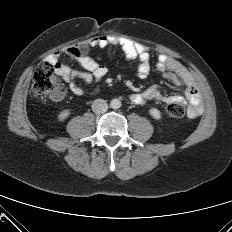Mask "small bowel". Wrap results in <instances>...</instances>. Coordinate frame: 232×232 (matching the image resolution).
I'll return each mask as SVG.
<instances>
[{
  "label": "small bowel",
  "mask_w": 232,
  "mask_h": 232,
  "mask_svg": "<svg viewBox=\"0 0 232 232\" xmlns=\"http://www.w3.org/2000/svg\"><path fill=\"white\" fill-rule=\"evenodd\" d=\"M90 43L100 47L109 45L120 47L131 60L136 62L135 74L139 78H146L151 72L152 55L149 49L140 43L116 35H101L90 39ZM48 58L54 63L55 72L67 84V87L62 88L58 95L51 97L54 101L62 100L68 92L75 95L87 94V90L81 83L86 85L99 83L108 73L105 66L86 56L76 58L82 70H76L67 64L60 63L56 55H50ZM155 69L163 73L164 77L172 84L182 87L184 96L166 95L162 92L161 87L155 84L141 92L132 93L129 96V101L132 104L139 105L150 100H158L165 103H182L186 99L189 103V116L198 117L202 113L201 96L191 72L177 59L165 53L157 54ZM96 91H92V93Z\"/></svg>",
  "instance_id": "1"
}]
</instances>
